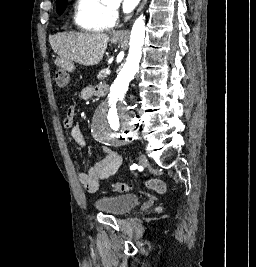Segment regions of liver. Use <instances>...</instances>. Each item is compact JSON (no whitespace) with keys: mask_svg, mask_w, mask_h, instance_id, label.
<instances>
[{"mask_svg":"<svg viewBox=\"0 0 256 267\" xmlns=\"http://www.w3.org/2000/svg\"><path fill=\"white\" fill-rule=\"evenodd\" d=\"M118 32H114L117 36ZM109 36L100 32H58L49 36L52 50L65 62L96 66L105 54Z\"/></svg>","mask_w":256,"mask_h":267,"instance_id":"1","label":"liver"}]
</instances>
